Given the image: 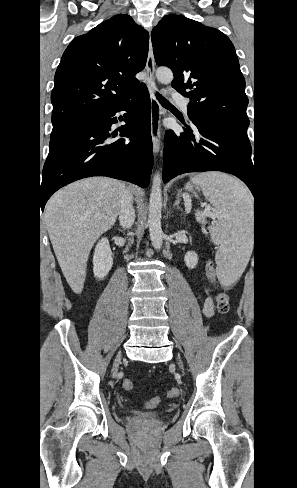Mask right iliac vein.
Returning a JSON list of instances; mask_svg holds the SVG:
<instances>
[{
  "label": "right iliac vein",
  "instance_id": "right-iliac-vein-1",
  "mask_svg": "<svg viewBox=\"0 0 297 488\" xmlns=\"http://www.w3.org/2000/svg\"><path fill=\"white\" fill-rule=\"evenodd\" d=\"M120 359H121V355H118V357L116 358V360L114 362V370H117V367L119 365Z\"/></svg>",
  "mask_w": 297,
  "mask_h": 488
}]
</instances>
